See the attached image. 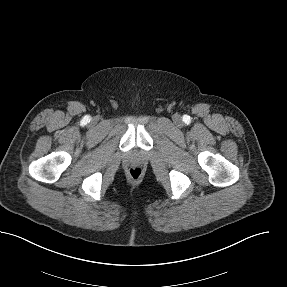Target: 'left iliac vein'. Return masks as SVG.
<instances>
[{
  "label": "left iliac vein",
  "instance_id": "left-iliac-vein-1",
  "mask_svg": "<svg viewBox=\"0 0 287 287\" xmlns=\"http://www.w3.org/2000/svg\"><path fill=\"white\" fill-rule=\"evenodd\" d=\"M174 122H175L177 125H180V124L182 123L180 116L176 115V116L174 117Z\"/></svg>",
  "mask_w": 287,
  "mask_h": 287
}]
</instances>
